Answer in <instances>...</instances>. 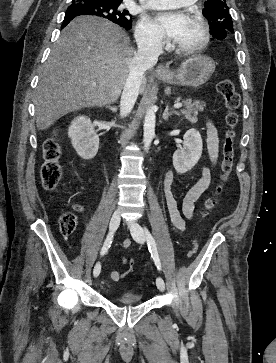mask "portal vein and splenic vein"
Returning a JSON list of instances; mask_svg holds the SVG:
<instances>
[{
    "mask_svg": "<svg viewBox=\"0 0 276 363\" xmlns=\"http://www.w3.org/2000/svg\"><path fill=\"white\" fill-rule=\"evenodd\" d=\"M94 86H96V84H94ZM182 107V103L180 102H177L174 104V108L178 109V108H181Z\"/></svg>",
    "mask_w": 276,
    "mask_h": 363,
    "instance_id": "obj_1",
    "label": "portal vein and splenic vein"
}]
</instances>
